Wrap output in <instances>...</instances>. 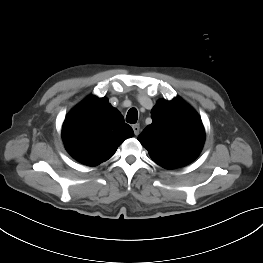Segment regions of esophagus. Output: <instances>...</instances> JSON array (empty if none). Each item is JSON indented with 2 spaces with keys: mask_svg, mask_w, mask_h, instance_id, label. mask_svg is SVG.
<instances>
[{
  "mask_svg": "<svg viewBox=\"0 0 263 263\" xmlns=\"http://www.w3.org/2000/svg\"><path fill=\"white\" fill-rule=\"evenodd\" d=\"M132 128H133L134 134H135L136 136L139 135V132H140V126H139V124H134V125L132 126Z\"/></svg>",
  "mask_w": 263,
  "mask_h": 263,
  "instance_id": "esophagus-1",
  "label": "esophagus"
}]
</instances>
